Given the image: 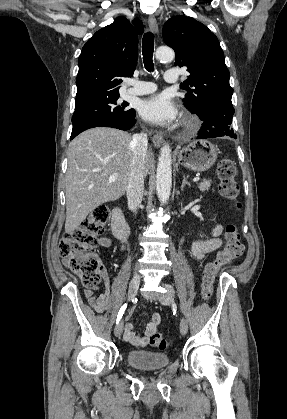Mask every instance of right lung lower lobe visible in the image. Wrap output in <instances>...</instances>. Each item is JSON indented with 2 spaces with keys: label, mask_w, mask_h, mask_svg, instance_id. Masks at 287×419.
<instances>
[{
  "label": "right lung lower lobe",
  "mask_w": 287,
  "mask_h": 419,
  "mask_svg": "<svg viewBox=\"0 0 287 419\" xmlns=\"http://www.w3.org/2000/svg\"><path fill=\"white\" fill-rule=\"evenodd\" d=\"M135 124V113L128 119H114V118H98L88 121L80 125L75 130H72L70 139L72 140L79 133L93 127H112L121 130H129Z\"/></svg>",
  "instance_id": "1"
}]
</instances>
